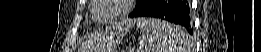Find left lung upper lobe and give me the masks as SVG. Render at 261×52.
<instances>
[{"instance_id": "5c2ea615", "label": "left lung upper lobe", "mask_w": 261, "mask_h": 52, "mask_svg": "<svg viewBox=\"0 0 261 52\" xmlns=\"http://www.w3.org/2000/svg\"><path fill=\"white\" fill-rule=\"evenodd\" d=\"M153 0H138L136 9L133 13L130 14V17H134L138 12H140L143 8L149 5Z\"/></svg>"}]
</instances>
